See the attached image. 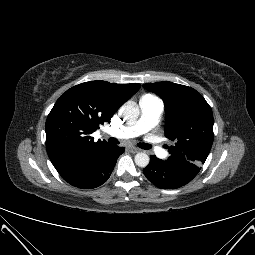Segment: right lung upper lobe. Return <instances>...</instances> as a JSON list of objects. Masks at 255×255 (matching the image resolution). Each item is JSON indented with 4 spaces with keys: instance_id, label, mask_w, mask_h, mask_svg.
<instances>
[{
    "instance_id": "1",
    "label": "right lung upper lobe",
    "mask_w": 255,
    "mask_h": 255,
    "mask_svg": "<svg viewBox=\"0 0 255 255\" xmlns=\"http://www.w3.org/2000/svg\"><path fill=\"white\" fill-rule=\"evenodd\" d=\"M140 84L91 81L67 90L55 103L46 121V149L58 172L108 146L90 136L139 89Z\"/></svg>"
}]
</instances>
